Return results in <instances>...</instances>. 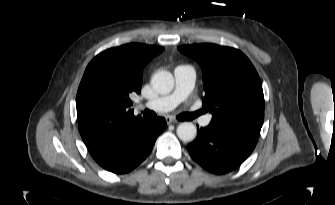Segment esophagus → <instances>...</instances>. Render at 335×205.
Here are the masks:
<instances>
[{"mask_svg":"<svg viewBox=\"0 0 335 205\" xmlns=\"http://www.w3.org/2000/svg\"><path fill=\"white\" fill-rule=\"evenodd\" d=\"M166 122H167V124H171V123H177L178 121L175 120L174 118L170 117V116H167L166 117Z\"/></svg>","mask_w":335,"mask_h":205,"instance_id":"1","label":"esophagus"}]
</instances>
